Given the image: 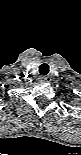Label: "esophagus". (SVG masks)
<instances>
[{"instance_id":"obj_1","label":"esophagus","mask_w":81,"mask_h":155,"mask_svg":"<svg viewBox=\"0 0 81 155\" xmlns=\"http://www.w3.org/2000/svg\"><path fill=\"white\" fill-rule=\"evenodd\" d=\"M39 79H40V81H42V82H46V83L51 82V78H50L49 76L43 75V76H40Z\"/></svg>"}]
</instances>
